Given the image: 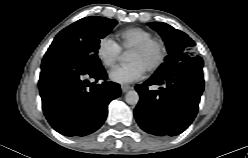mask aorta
I'll return each mask as SVG.
<instances>
[{"label": "aorta", "instance_id": "obj_1", "mask_svg": "<svg viewBox=\"0 0 248 158\" xmlns=\"http://www.w3.org/2000/svg\"><path fill=\"white\" fill-rule=\"evenodd\" d=\"M125 101L129 105H136L139 102V95L135 90H131L126 93L125 95Z\"/></svg>", "mask_w": 248, "mask_h": 158}]
</instances>
